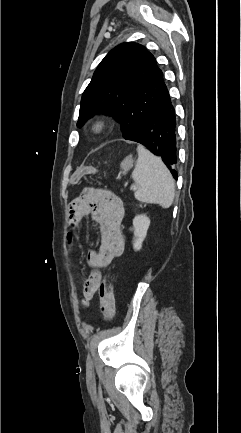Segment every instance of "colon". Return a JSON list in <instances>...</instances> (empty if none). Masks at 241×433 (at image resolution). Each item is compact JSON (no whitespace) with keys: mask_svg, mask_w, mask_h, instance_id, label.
Instances as JSON below:
<instances>
[{"mask_svg":"<svg viewBox=\"0 0 241 433\" xmlns=\"http://www.w3.org/2000/svg\"><path fill=\"white\" fill-rule=\"evenodd\" d=\"M93 173L92 168H75L72 174V179L78 181L81 177H92ZM67 235L70 238H75L78 235V232L74 228H69ZM88 286L91 289L99 291L102 300L103 318L106 322L111 321L115 313L114 287L112 280L110 278L102 279L98 274H93L90 277Z\"/></svg>","mask_w":241,"mask_h":433,"instance_id":"colon-1","label":"colon"}]
</instances>
